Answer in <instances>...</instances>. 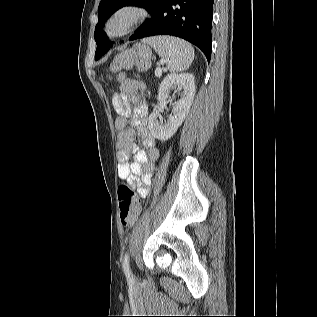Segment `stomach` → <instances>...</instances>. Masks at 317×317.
<instances>
[{"label":"stomach","mask_w":317,"mask_h":317,"mask_svg":"<svg viewBox=\"0 0 317 317\" xmlns=\"http://www.w3.org/2000/svg\"><path fill=\"white\" fill-rule=\"evenodd\" d=\"M117 57H127L128 63L126 65H132L136 60L148 61L151 59V49L143 44H136L131 49L120 53ZM125 65V66H126Z\"/></svg>","instance_id":"1"}]
</instances>
